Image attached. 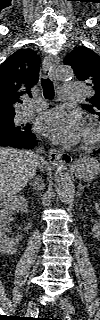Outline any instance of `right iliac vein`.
I'll return each mask as SVG.
<instances>
[{"instance_id": "1", "label": "right iliac vein", "mask_w": 100, "mask_h": 320, "mask_svg": "<svg viewBox=\"0 0 100 320\" xmlns=\"http://www.w3.org/2000/svg\"><path fill=\"white\" fill-rule=\"evenodd\" d=\"M32 308H34V302L29 303L27 312L29 313L32 310Z\"/></svg>"}]
</instances>
